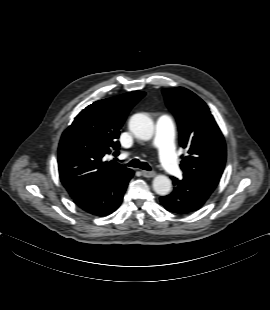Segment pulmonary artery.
Listing matches in <instances>:
<instances>
[{
    "instance_id": "pulmonary-artery-1",
    "label": "pulmonary artery",
    "mask_w": 270,
    "mask_h": 310,
    "mask_svg": "<svg viewBox=\"0 0 270 310\" xmlns=\"http://www.w3.org/2000/svg\"><path fill=\"white\" fill-rule=\"evenodd\" d=\"M175 129L169 115H161L156 122L154 144L159 151V159L165 169L174 176L181 175L182 171L177 162L174 146Z\"/></svg>"
}]
</instances>
